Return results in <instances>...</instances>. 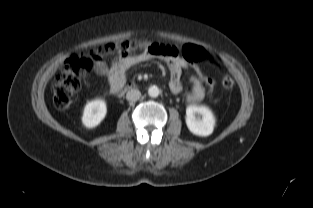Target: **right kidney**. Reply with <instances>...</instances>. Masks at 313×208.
<instances>
[{"instance_id": "right-kidney-1", "label": "right kidney", "mask_w": 313, "mask_h": 208, "mask_svg": "<svg viewBox=\"0 0 313 208\" xmlns=\"http://www.w3.org/2000/svg\"><path fill=\"white\" fill-rule=\"evenodd\" d=\"M107 114V105L103 99L87 102L83 109L81 121L84 127L92 129L97 127Z\"/></svg>"}]
</instances>
